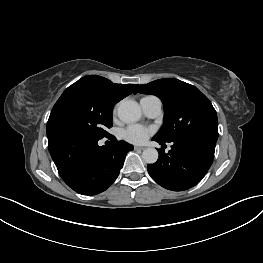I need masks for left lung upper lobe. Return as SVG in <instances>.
I'll return each instance as SVG.
<instances>
[{"label": "left lung upper lobe", "mask_w": 263, "mask_h": 263, "mask_svg": "<svg viewBox=\"0 0 263 263\" xmlns=\"http://www.w3.org/2000/svg\"><path fill=\"white\" fill-rule=\"evenodd\" d=\"M159 97L164 105V124L153 137L162 142L177 139H218L217 114L209 99L195 86L164 78L137 87L136 93Z\"/></svg>", "instance_id": "left-lung-upper-lobe-1"}]
</instances>
